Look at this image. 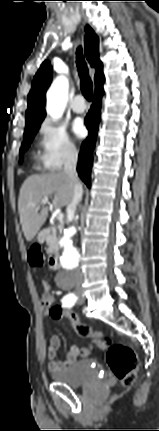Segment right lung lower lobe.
Here are the masks:
<instances>
[{
    "label": "right lung lower lobe",
    "instance_id": "1",
    "mask_svg": "<svg viewBox=\"0 0 159 431\" xmlns=\"http://www.w3.org/2000/svg\"><path fill=\"white\" fill-rule=\"evenodd\" d=\"M104 82V81H103ZM103 82L99 83L93 96V105L85 118L89 130L88 138L83 142L78 158L77 171L82 181L90 187L91 168L93 164V149L95 146L98 124L100 121L101 97L103 95Z\"/></svg>",
    "mask_w": 159,
    "mask_h": 431
}]
</instances>
